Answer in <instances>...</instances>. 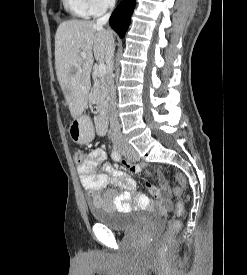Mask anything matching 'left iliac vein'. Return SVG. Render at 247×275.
<instances>
[{"instance_id":"4c4485c4","label":"left iliac vein","mask_w":247,"mask_h":275,"mask_svg":"<svg viewBox=\"0 0 247 275\" xmlns=\"http://www.w3.org/2000/svg\"><path fill=\"white\" fill-rule=\"evenodd\" d=\"M121 152L129 161H136L138 159L135 150L128 144H124V147L121 150Z\"/></svg>"}]
</instances>
